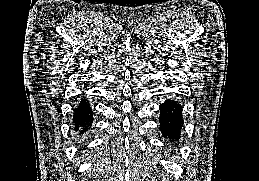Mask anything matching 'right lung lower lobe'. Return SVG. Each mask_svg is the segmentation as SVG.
Here are the masks:
<instances>
[{"instance_id":"98d812e1","label":"right lung lower lobe","mask_w":259,"mask_h":181,"mask_svg":"<svg viewBox=\"0 0 259 181\" xmlns=\"http://www.w3.org/2000/svg\"><path fill=\"white\" fill-rule=\"evenodd\" d=\"M89 105V101L86 98H84L74 109V130L79 132L80 135L84 134L86 131L90 129V125L93 121V113Z\"/></svg>"}]
</instances>
